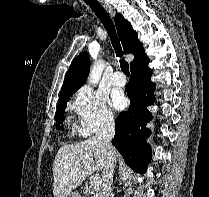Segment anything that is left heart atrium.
Segmentation results:
<instances>
[{"instance_id":"1","label":"left heart atrium","mask_w":209,"mask_h":197,"mask_svg":"<svg viewBox=\"0 0 209 197\" xmlns=\"http://www.w3.org/2000/svg\"><path fill=\"white\" fill-rule=\"evenodd\" d=\"M113 106L118 109L122 110L127 105V99L123 94H115L112 99Z\"/></svg>"}]
</instances>
